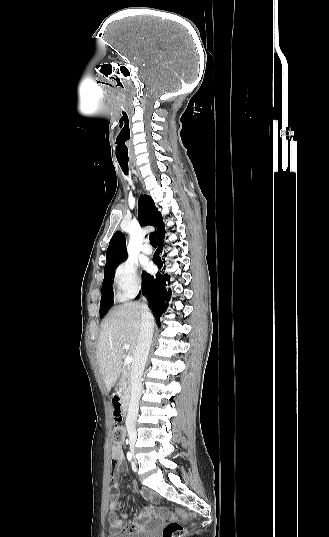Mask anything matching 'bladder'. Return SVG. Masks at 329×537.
I'll list each match as a JSON object with an SVG mask.
<instances>
[{"label": "bladder", "instance_id": "1", "mask_svg": "<svg viewBox=\"0 0 329 537\" xmlns=\"http://www.w3.org/2000/svg\"><path fill=\"white\" fill-rule=\"evenodd\" d=\"M107 537H154L151 532L143 533H125V532H116L114 530H109Z\"/></svg>", "mask_w": 329, "mask_h": 537}]
</instances>
